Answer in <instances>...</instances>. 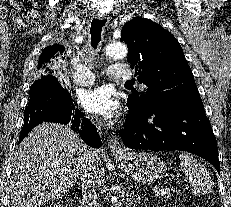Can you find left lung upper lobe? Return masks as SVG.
<instances>
[{"mask_svg": "<svg viewBox=\"0 0 231 207\" xmlns=\"http://www.w3.org/2000/svg\"><path fill=\"white\" fill-rule=\"evenodd\" d=\"M120 40L128 45V62L138 81L147 86L128 96L129 112L166 111L202 102L178 40L161 25L135 18L123 26Z\"/></svg>", "mask_w": 231, "mask_h": 207, "instance_id": "left-lung-upper-lobe-1", "label": "left lung upper lobe"}]
</instances>
